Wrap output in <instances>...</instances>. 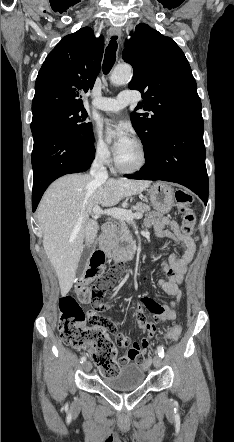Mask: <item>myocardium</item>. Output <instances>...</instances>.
Returning <instances> with one entry per match:
<instances>
[{"label": "myocardium", "mask_w": 234, "mask_h": 442, "mask_svg": "<svg viewBox=\"0 0 234 442\" xmlns=\"http://www.w3.org/2000/svg\"><path fill=\"white\" fill-rule=\"evenodd\" d=\"M134 143L137 146L139 154H140L139 162L132 167H124L119 163L117 157H115L114 165H115L116 169L121 173L132 174V173L139 172L140 170H142L145 167V165L147 163L148 153H147V149H146L145 145L138 139H135Z\"/></svg>", "instance_id": "myocardium-1"}]
</instances>
